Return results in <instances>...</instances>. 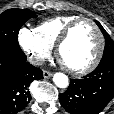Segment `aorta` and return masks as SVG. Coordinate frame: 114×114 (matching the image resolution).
<instances>
[{
  "label": "aorta",
  "mask_w": 114,
  "mask_h": 114,
  "mask_svg": "<svg viewBox=\"0 0 114 114\" xmlns=\"http://www.w3.org/2000/svg\"><path fill=\"white\" fill-rule=\"evenodd\" d=\"M53 82L59 88H66L69 84L68 77L63 73H55L53 76Z\"/></svg>",
  "instance_id": "aorta-1"
}]
</instances>
